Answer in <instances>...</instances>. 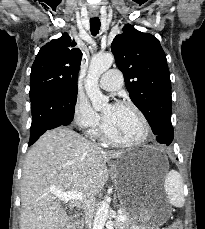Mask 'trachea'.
<instances>
[{"instance_id": "obj_1", "label": "trachea", "mask_w": 205, "mask_h": 229, "mask_svg": "<svg viewBox=\"0 0 205 229\" xmlns=\"http://www.w3.org/2000/svg\"><path fill=\"white\" fill-rule=\"evenodd\" d=\"M100 20L98 17H93L90 19V30L93 36H96L100 30Z\"/></svg>"}]
</instances>
